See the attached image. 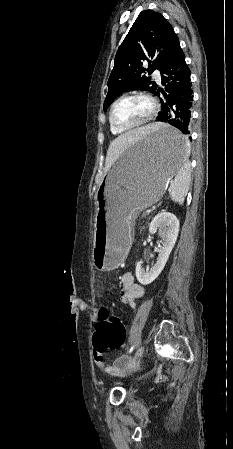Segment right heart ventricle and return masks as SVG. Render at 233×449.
Wrapping results in <instances>:
<instances>
[{
  "instance_id": "right-heart-ventricle-1",
  "label": "right heart ventricle",
  "mask_w": 233,
  "mask_h": 449,
  "mask_svg": "<svg viewBox=\"0 0 233 449\" xmlns=\"http://www.w3.org/2000/svg\"><path fill=\"white\" fill-rule=\"evenodd\" d=\"M110 131L114 135H119V134L123 133L122 131H118V130L114 129L111 125H110Z\"/></svg>"
}]
</instances>
